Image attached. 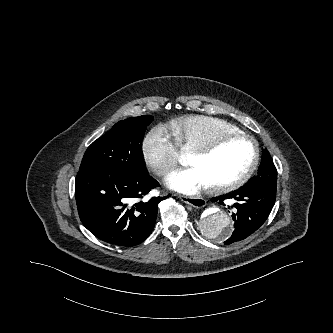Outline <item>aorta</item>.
<instances>
[{"instance_id": "1", "label": "aorta", "mask_w": 333, "mask_h": 333, "mask_svg": "<svg viewBox=\"0 0 333 333\" xmlns=\"http://www.w3.org/2000/svg\"><path fill=\"white\" fill-rule=\"evenodd\" d=\"M199 228L205 236L224 239L232 231V219L220 206L215 205L203 212Z\"/></svg>"}]
</instances>
